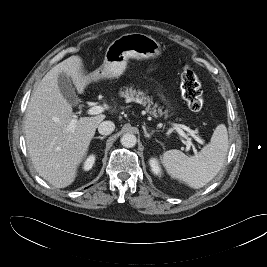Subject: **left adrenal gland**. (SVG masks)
<instances>
[{
  "mask_svg": "<svg viewBox=\"0 0 267 267\" xmlns=\"http://www.w3.org/2000/svg\"><path fill=\"white\" fill-rule=\"evenodd\" d=\"M142 128L144 131L145 138H150L154 131H151L150 133H148L145 126H142Z\"/></svg>",
  "mask_w": 267,
  "mask_h": 267,
  "instance_id": "a2214340",
  "label": "left adrenal gland"
}]
</instances>
